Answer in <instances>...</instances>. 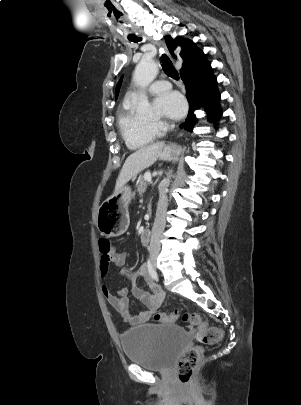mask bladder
Here are the masks:
<instances>
[{"mask_svg": "<svg viewBox=\"0 0 301 405\" xmlns=\"http://www.w3.org/2000/svg\"><path fill=\"white\" fill-rule=\"evenodd\" d=\"M120 341L130 362L151 371L168 372L189 339L181 327L145 324L124 331Z\"/></svg>", "mask_w": 301, "mask_h": 405, "instance_id": "31cf9c89", "label": "bladder"}]
</instances>
